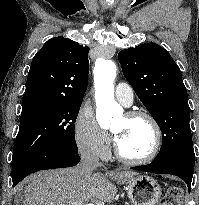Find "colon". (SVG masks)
<instances>
[{
    "mask_svg": "<svg viewBox=\"0 0 199 205\" xmlns=\"http://www.w3.org/2000/svg\"><path fill=\"white\" fill-rule=\"evenodd\" d=\"M182 196V189L178 186L169 188L166 196L161 201V205H179Z\"/></svg>",
    "mask_w": 199,
    "mask_h": 205,
    "instance_id": "1",
    "label": "colon"
}]
</instances>
